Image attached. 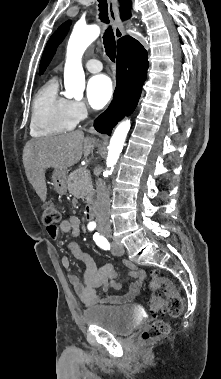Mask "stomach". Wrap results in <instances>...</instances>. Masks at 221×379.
<instances>
[{"mask_svg": "<svg viewBox=\"0 0 221 379\" xmlns=\"http://www.w3.org/2000/svg\"><path fill=\"white\" fill-rule=\"evenodd\" d=\"M67 169H55L52 175V181L55 190L60 194H65L67 187Z\"/></svg>", "mask_w": 221, "mask_h": 379, "instance_id": "1", "label": "stomach"}]
</instances>
